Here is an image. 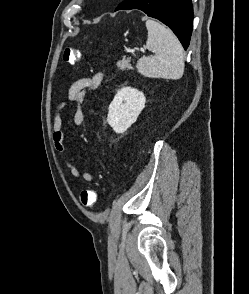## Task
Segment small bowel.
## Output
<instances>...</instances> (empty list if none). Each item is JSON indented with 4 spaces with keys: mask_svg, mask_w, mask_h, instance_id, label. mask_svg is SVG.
I'll use <instances>...</instances> for the list:
<instances>
[{
    "mask_svg": "<svg viewBox=\"0 0 249 294\" xmlns=\"http://www.w3.org/2000/svg\"><path fill=\"white\" fill-rule=\"evenodd\" d=\"M102 72H96L95 74L78 79L69 88L67 99L56 103L53 110V144L58 152H65V132L63 130L62 112L70 103H75L76 108L73 113V122L76 126H82L84 124V112L83 103L87 91L96 90L102 83ZM64 165L69 170L70 174L78 180H84L86 182L93 181V175L88 172H80L79 169L72 164L68 159H64Z\"/></svg>",
    "mask_w": 249,
    "mask_h": 294,
    "instance_id": "1",
    "label": "small bowel"
}]
</instances>
